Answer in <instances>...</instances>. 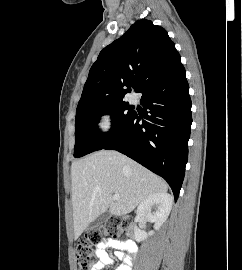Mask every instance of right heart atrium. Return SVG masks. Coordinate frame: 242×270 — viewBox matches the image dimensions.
<instances>
[{"label":"right heart atrium","mask_w":242,"mask_h":270,"mask_svg":"<svg viewBox=\"0 0 242 270\" xmlns=\"http://www.w3.org/2000/svg\"><path fill=\"white\" fill-rule=\"evenodd\" d=\"M113 116L110 113L104 112L100 116L99 127L102 131L108 132L113 127Z\"/></svg>","instance_id":"1"}]
</instances>
